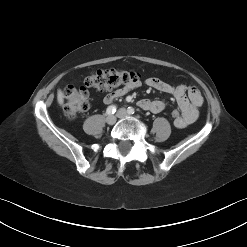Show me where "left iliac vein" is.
<instances>
[{"mask_svg":"<svg viewBox=\"0 0 247 247\" xmlns=\"http://www.w3.org/2000/svg\"><path fill=\"white\" fill-rule=\"evenodd\" d=\"M127 116V113H126V110L125 109H120L119 111H118V113H117V117L118 118H124V117H126Z\"/></svg>","mask_w":247,"mask_h":247,"instance_id":"left-iliac-vein-1","label":"left iliac vein"}]
</instances>
